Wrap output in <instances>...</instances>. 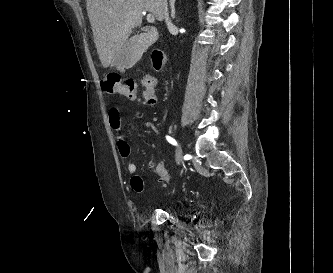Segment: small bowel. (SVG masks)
<instances>
[{
  "mask_svg": "<svg viewBox=\"0 0 333 273\" xmlns=\"http://www.w3.org/2000/svg\"><path fill=\"white\" fill-rule=\"evenodd\" d=\"M142 94L129 95V102H141L145 106L153 107L156 102V96L154 91H157V84L154 77L151 76L150 70H143L142 72ZM121 105H114L109 112V123L113 130H121V119H120ZM145 127H149L150 123L145 122ZM117 148L118 152L123 159H128L131 156V147L129 143L120 135L117 137ZM127 172L132 175L131 177V188L135 192H142L144 190L143 179L136 175L137 166L135 163H128Z\"/></svg>",
  "mask_w": 333,
  "mask_h": 273,
  "instance_id": "small-bowel-1",
  "label": "small bowel"
}]
</instances>
